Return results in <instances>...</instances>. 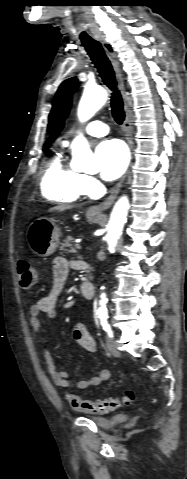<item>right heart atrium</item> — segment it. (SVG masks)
<instances>
[{
  "label": "right heart atrium",
  "instance_id": "right-heart-atrium-1",
  "mask_svg": "<svg viewBox=\"0 0 187 479\" xmlns=\"http://www.w3.org/2000/svg\"><path fill=\"white\" fill-rule=\"evenodd\" d=\"M81 185L83 188L84 193L86 194H93L97 189L99 182L92 176L89 175H82Z\"/></svg>",
  "mask_w": 187,
  "mask_h": 479
}]
</instances>
